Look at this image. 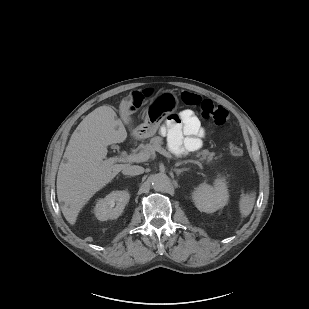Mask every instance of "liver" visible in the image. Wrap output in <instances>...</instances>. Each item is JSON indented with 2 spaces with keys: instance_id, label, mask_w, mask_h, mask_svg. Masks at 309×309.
<instances>
[{
  "instance_id": "6515ba94",
  "label": "liver",
  "mask_w": 309,
  "mask_h": 309,
  "mask_svg": "<svg viewBox=\"0 0 309 309\" xmlns=\"http://www.w3.org/2000/svg\"><path fill=\"white\" fill-rule=\"evenodd\" d=\"M132 99L122 100L120 119L110 106L89 113L73 132L57 174V198L65 219L76 223L81 209L106 186L126 164H104L107 147L127 138L124 124H130Z\"/></svg>"
}]
</instances>
